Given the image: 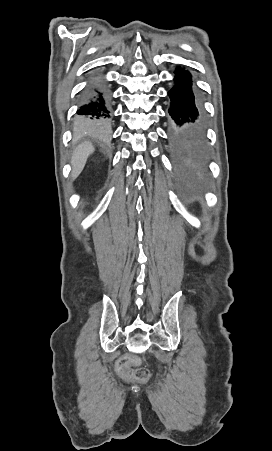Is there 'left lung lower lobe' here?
Returning <instances> with one entry per match:
<instances>
[{
  "instance_id": "left-lung-lower-lobe-1",
  "label": "left lung lower lobe",
  "mask_w": 272,
  "mask_h": 451,
  "mask_svg": "<svg viewBox=\"0 0 272 451\" xmlns=\"http://www.w3.org/2000/svg\"><path fill=\"white\" fill-rule=\"evenodd\" d=\"M170 98L169 125L171 149L175 160L182 165L204 162L201 152V108L191 73L185 66L174 71V85L168 92Z\"/></svg>"
}]
</instances>
